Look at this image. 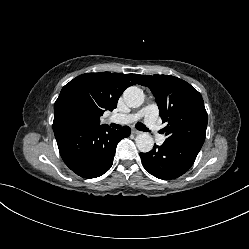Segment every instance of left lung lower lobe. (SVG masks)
Listing matches in <instances>:
<instances>
[{
	"mask_svg": "<svg viewBox=\"0 0 249 249\" xmlns=\"http://www.w3.org/2000/svg\"><path fill=\"white\" fill-rule=\"evenodd\" d=\"M200 149L182 143L154 145L148 153H140L144 168L153 176L171 180L187 172L193 165Z\"/></svg>",
	"mask_w": 249,
	"mask_h": 249,
	"instance_id": "1",
	"label": "left lung lower lobe"
}]
</instances>
